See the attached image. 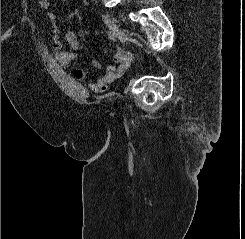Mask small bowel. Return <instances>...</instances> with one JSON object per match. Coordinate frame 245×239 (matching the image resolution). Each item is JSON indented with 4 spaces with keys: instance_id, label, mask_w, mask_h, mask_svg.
<instances>
[{
    "instance_id": "obj_1",
    "label": "small bowel",
    "mask_w": 245,
    "mask_h": 239,
    "mask_svg": "<svg viewBox=\"0 0 245 239\" xmlns=\"http://www.w3.org/2000/svg\"><path fill=\"white\" fill-rule=\"evenodd\" d=\"M53 2L66 3L68 0H40V6L43 9H50ZM49 17L54 20V13L50 12ZM59 31L57 27L53 28V39L52 45L55 51V57L63 69H68L72 62L78 58V50L81 47L79 38L81 36L80 32H69L65 37L66 44L70 47L71 51L63 50V42L60 40ZM114 64L103 66L100 61L94 59L91 61V65L96 70H103L102 75L97 81L88 84L89 90L95 93L105 92L109 85L115 80L124 75L126 69V63L123 58V54L117 51L113 55ZM72 78L75 82H81L85 79V72L82 69H75L72 73Z\"/></svg>"
}]
</instances>
